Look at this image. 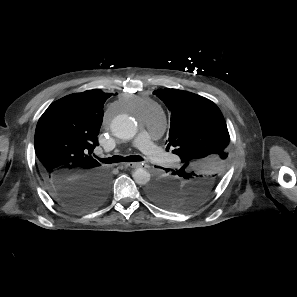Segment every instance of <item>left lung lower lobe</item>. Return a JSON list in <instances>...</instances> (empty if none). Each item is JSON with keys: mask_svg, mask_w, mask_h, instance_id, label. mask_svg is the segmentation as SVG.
<instances>
[{"mask_svg": "<svg viewBox=\"0 0 297 297\" xmlns=\"http://www.w3.org/2000/svg\"><path fill=\"white\" fill-rule=\"evenodd\" d=\"M165 171H166L167 173H169L171 170H170V169H165Z\"/></svg>", "mask_w": 297, "mask_h": 297, "instance_id": "0a47b994", "label": "left lung lower lobe"}]
</instances>
